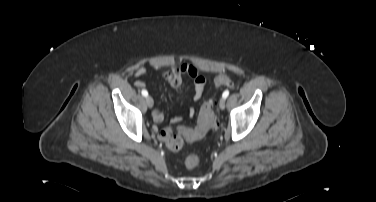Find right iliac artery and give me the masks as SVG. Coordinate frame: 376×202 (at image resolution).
I'll list each match as a JSON object with an SVG mask.
<instances>
[{
    "mask_svg": "<svg viewBox=\"0 0 376 202\" xmlns=\"http://www.w3.org/2000/svg\"><path fill=\"white\" fill-rule=\"evenodd\" d=\"M141 93H142V95H143L144 97H147V96H148V92H147V90H145V89H143V90L141 91Z\"/></svg>",
    "mask_w": 376,
    "mask_h": 202,
    "instance_id": "right-iliac-artery-1",
    "label": "right iliac artery"
}]
</instances>
